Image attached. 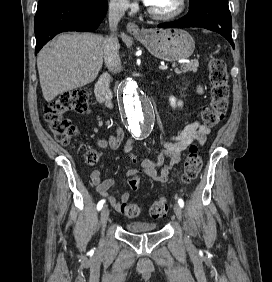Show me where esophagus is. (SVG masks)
Here are the masks:
<instances>
[{
    "instance_id": "obj_1",
    "label": "esophagus",
    "mask_w": 272,
    "mask_h": 282,
    "mask_svg": "<svg viewBox=\"0 0 272 282\" xmlns=\"http://www.w3.org/2000/svg\"><path fill=\"white\" fill-rule=\"evenodd\" d=\"M126 29L130 34H133V35H137L140 33V29L138 25L135 24L134 22H129L126 26Z\"/></svg>"
}]
</instances>
